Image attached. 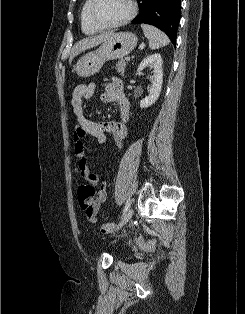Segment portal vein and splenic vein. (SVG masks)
Masks as SVG:
<instances>
[{
	"mask_svg": "<svg viewBox=\"0 0 245 314\" xmlns=\"http://www.w3.org/2000/svg\"><path fill=\"white\" fill-rule=\"evenodd\" d=\"M125 60H126V61H130V57H126Z\"/></svg>",
	"mask_w": 245,
	"mask_h": 314,
	"instance_id": "portal-vein-and-splenic-vein-1",
	"label": "portal vein and splenic vein"
}]
</instances>
